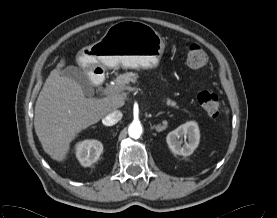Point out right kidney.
I'll return each instance as SVG.
<instances>
[{
	"instance_id": "ca27d5eb",
	"label": "right kidney",
	"mask_w": 277,
	"mask_h": 218,
	"mask_svg": "<svg viewBox=\"0 0 277 218\" xmlns=\"http://www.w3.org/2000/svg\"><path fill=\"white\" fill-rule=\"evenodd\" d=\"M103 152V145L98 140H84L76 144V157L82 166L95 163Z\"/></svg>"
}]
</instances>
